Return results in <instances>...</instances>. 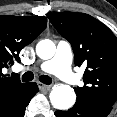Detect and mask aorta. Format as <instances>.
<instances>
[{
  "mask_svg": "<svg viewBox=\"0 0 117 117\" xmlns=\"http://www.w3.org/2000/svg\"><path fill=\"white\" fill-rule=\"evenodd\" d=\"M55 51V44L48 39L38 42L36 46L37 55L44 60L52 58ZM49 97L52 106L58 110H68L76 101L73 88L65 84L54 85Z\"/></svg>",
  "mask_w": 117,
  "mask_h": 117,
  "instance_id": "762f6f07",
  "label": "aorta"
}]
</instances>
